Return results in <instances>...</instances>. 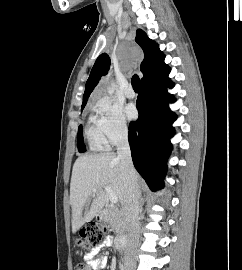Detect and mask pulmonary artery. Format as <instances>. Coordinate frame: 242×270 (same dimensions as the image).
Masks as SVG:
<instances>
[{"label":"pulmonary artery","mask_w":242,"mask_h":270,"mask_svg":"<svg viewBox=\"0 0 242 270\" xmlns=\"http://www.w3.org/2000/svg\"><path fill=\"white\" fill-rule=\"evenodd\" d=\"M125 95H126L128 98H130V99H132V98H134V97L136 96V93H135V91H134V89H133L132 86H128V87L126 88V90H125Z\"/></svg>","instance_id":"e3ab8cb5"}]
</instances>
